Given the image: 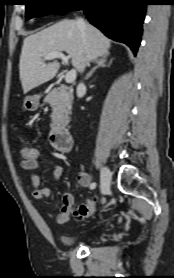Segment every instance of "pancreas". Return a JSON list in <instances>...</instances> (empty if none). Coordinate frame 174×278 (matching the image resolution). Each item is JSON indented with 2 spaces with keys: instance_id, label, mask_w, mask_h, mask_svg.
<instances>
[{
  "instance_id": "obj_1",
  "label": "pancreas",
  "mask_w": 174,
  "mask_h": 278,
  "mask_svg": "<svg viewBox=\"0 0 174 278\" xmlns=\"http://www.w3.org/2000/svg\"><path fill=\"white\" fill-rule=\"evenodd\" d=\"M52 107V121L54 123H67L71 114L73 94L66 86L53 89L44 100Z\"/></svg>"
}]
</instances>
